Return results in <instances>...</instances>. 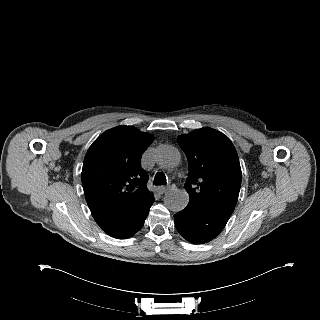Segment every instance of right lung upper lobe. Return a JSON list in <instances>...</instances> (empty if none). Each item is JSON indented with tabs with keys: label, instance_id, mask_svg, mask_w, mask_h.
<instances>
[{
	"label": "right lung upper lobe",
	"instance_id": "right-lung-upper-lobe-1",
	"mask_svg": "<svg viewBox=\"0 0 320 320\" xmlns=\"http://www.w3.org/2000/svg\"><path fill=\"white\" fill-rule=\"evenodd\" d=\"M153 135L133 126H118L100 135L83 163L82 185L95 221L115 219L154 201L147 173L140 165Z\"/></svg>",
	"mask_w": 320,
	"mask_h": 320
}]
</instances>
